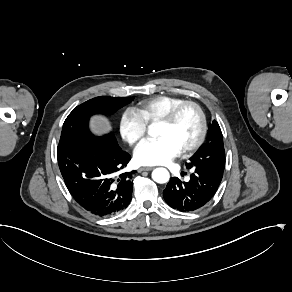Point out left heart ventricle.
<instances>
[{"instance_id": "1", "label": "left heart ventricle", "mask_w": 292, "mask_h": 292, "mask_svg": "<svg viewBox=\"0 0 292 292\" xmlns=\"http://www.w3.org/2000/svg\"><path fill=\"white\" fill-rule=\"evenodd\" d=\"M198 129L199 118L196 111L192 107H185L172 123L157 122L156 135L172 138L182 149L195 140Z\"/></svg>"}]
</instances>
